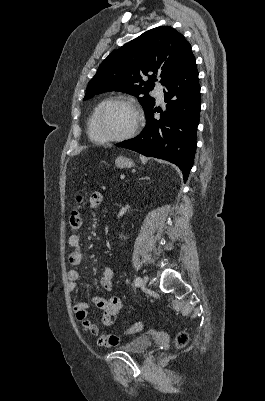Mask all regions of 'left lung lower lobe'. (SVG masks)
I'll return each instance as SVG.
<instances>
[{"mask_svg":"<svg viewBox=\"0 0 265 401\" xmlns=\"http://www.w3.org/2000/svg\"><path fill=\"white\" fill-rule=\"evenodd\" d=\"M167 103L154 118L153 108L147 111L146 126L135 138L116 144L148 157L176 164L184 181L189 176L196 151V131L200 116V85L194 56H190L179 73L165 85Z\"/></svg>","mask_w":265,"mask_h":401,"instance_id":"1","label":"left lung lower lobe"}]
</instances>
